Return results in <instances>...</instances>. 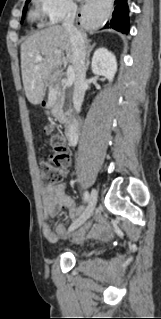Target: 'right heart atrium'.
I'll return each mask as SVG.
<instances>
[{
	"mask_svg": "<svg viewBox=\"0 0 161 319\" xmlns=\"http://www.w3.org/2000/svg\"><path fill=\"white\" fill-rule=\"evenodd\" d=\"M51 24L60 23L64 17L75 11L73 0H36Z\"/></svg>",
	"mask_w": 161,
	"mask_h": 319,
	"instance_id": "right-heart-atrium-1",
	"label": "right heart atrium"
}]
</instances>
